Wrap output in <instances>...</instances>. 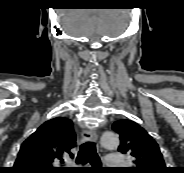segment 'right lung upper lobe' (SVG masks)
<instances>
[{
    "label": "right lung upper lobe",
    "instance_id": "right-lung-upper-lobe-1",
    "mask_svg": "<svg viewBox=\"0 0 184 173\" xmlns=\"http://www.w3.org/2000/svg\"><path fill=\"white\" fill-rule=\"evenodd\" d=\"M76 134L72 121L57 117L42 124L24 141L12 167L13 173H68L64 167H55L63 157L71 154Z\"/></svg>",
    "mask_w": 184,
    "mask_h": 173
}]
</instances>
